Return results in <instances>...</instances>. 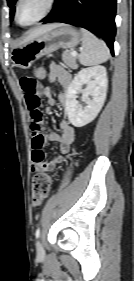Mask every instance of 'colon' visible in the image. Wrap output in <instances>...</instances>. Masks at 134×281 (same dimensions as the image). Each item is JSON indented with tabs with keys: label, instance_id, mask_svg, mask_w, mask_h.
I'll use <instances>...</instances> for the list:
<instances>
[{
	"label": "colon",
	"instance_id": "colon-1",
	"mask_svg": "<svg viewBox=\"0 0 134 281\" xmlns=\"http://www.w3.org/2000/svg\"><path fill=\"white\" fill-rule=\"evenodd\" d=\"M34 77L38 81H42L47 77V70L38 66L34 70ZM52 178L45 172L37 173L32 180V204L35 206L40 205L49 195Z\"/></svg>",
	"mask_w": 134,
	"mask_h": 281
}]
</instances>
